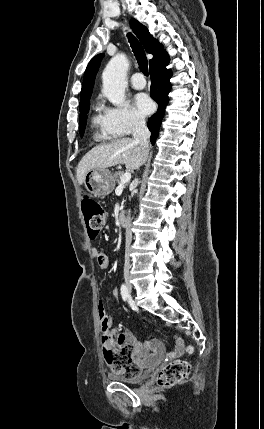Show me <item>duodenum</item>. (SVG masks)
Returning a JSON list of instances; mask_svg holds the SVG:
<instances>
[{"label": "duodenum", "mask_w": 264, "mask_h": 429, "mask_svg": "<svg viewBox=\"0 0 264 429\" xmlns=\"http://www.w3.org/2000/svg\"><path fill=\"white\" fill-rule=\"evenodd\" d=\"M118 220L120 222L121 225H126L127 224V215L125 212H121L118 215Z\"/></svg>", "instance_id": "obj_1"}]
</instances>
